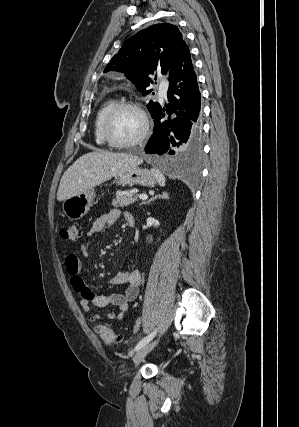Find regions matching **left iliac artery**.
Returning a JSON list of instances; mask_svg holds the SVG:
<instances>
[{"label": "left iliac artery", "instance_id": "left-iliac-artery-1", "mask_svg": "<svg viewBox=\"0 0 299 427\" xmlns=\"http://www.w3.org/2000/svg\"><path fill=\"white\" fill-rule=\"evenodd\" d=\"M157 330H154L151 334H149L148 336L144 337L135 347V350H139L140 348H142L144 345H146L147 343H149L154 336L156 335Z\"/></svg>", "mask_w": 299, "mask_h": 427}]
</instances>
